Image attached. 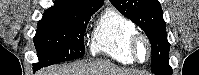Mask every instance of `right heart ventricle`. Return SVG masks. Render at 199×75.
<instances>
[{
    "mask_svg": "<svg viewBox=\"0 0 199 75\" xmlns=\"http://www.w3.org/2000/svg\"><path fill=\"white\" fill-rule=\"evenodd\" d=\"M136 31L134 23L123 14L109 10L97 24L91 40L93 54H105L122 64H132L130 37Z\"/></svg>",
    "mask_w": 199,
    "mask_h": 75,
    "instance_id": "e07e8e85",
    "label": "right heart ventricle"
}]
</instances>
